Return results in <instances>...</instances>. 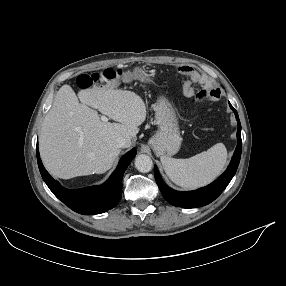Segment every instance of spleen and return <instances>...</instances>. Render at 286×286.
<instances>
[{
    "label": "spleen",
    "instance_id": "1",
    "mask_svg": "<svg viewBox=\"0 0 286 286\" xmlns=\"http://www.w3.org/2000/svg\"><path fill=\"white\" fill-rule=\"evenodd\" d=\"M226 161L227 150L222 143L187 159L161 157L169 179L185 189L198 188L212 182L223 171Z\"/></svg>",
    "mask_w": 286,
    "mask_h": 286
}]
</instances>
